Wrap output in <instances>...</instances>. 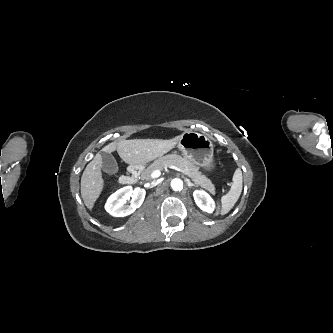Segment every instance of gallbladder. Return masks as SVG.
<instances>
[{"mask_svg": "<svg viewBox=\"0 0 333 333\" xmlns=\"http://www.w3.org/2000/svg\"><path fill=\"white\" fill-rule=\"evenodd\" d=\"M102 158V170L107 174H116L119 170L115 157L108 152H100Z\"/></svg>", "mask_w": 333, "mask_h": 333, "instance_id": "obj_1", "label": "gallbladder"}]
</instances>
